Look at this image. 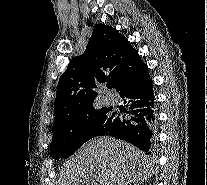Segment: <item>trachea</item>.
Listing matches in <instances>:
<instances>
[{
	"mask_svg": "<svg viewBox=\"0 0 207 185\" xmlns=\"http://www.w3.org/2000/svg\"><path fill=\"white\" fill-rule=\"evenodd\" d=\"M107 86H108V88H112V87H114V84L113 83H110Z\"/></svg>",
	"mask_w": 207,
	"mask_h": 185,
	"instance_id": "1",
	"label": "trachea"
}]
</instances>
